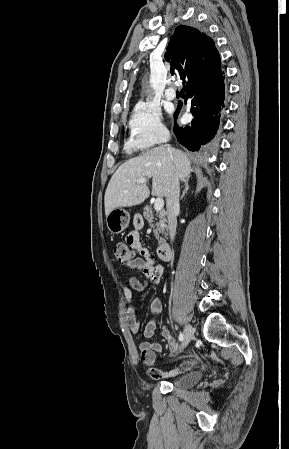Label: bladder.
I'll return each instance as SVG.
<instances>
[{
	"label": "bladder",
	"instance_id": "obj_1",
	"mask_svg": "<svg viewBox=\"0 0 289 449\" xmlns=\"http://www.w3.org/2000/svg\"><path fill=\"white\" fill-rule=\"evenodd\" d=\"M203 377V372L196 370V371H190L175 380L172 381V385L181 388V389H187L195 384H197Z\"/></svg>",
	"mask_w": 289,
	"mask_h": 449
}]
</instances>
